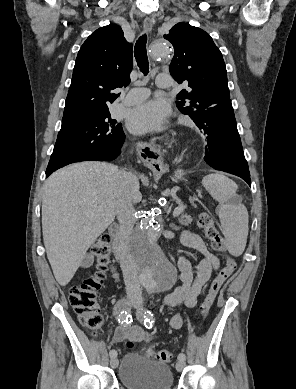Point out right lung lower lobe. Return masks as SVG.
<instances>
[{"label":"right lung lower lobe","mask_w":296,"mask_h":389,"mask_svg":"<svg viewBox=\"0 0 296 389\" xmlns=\"http://www.w3.org/2000/svg\"><path fill=\"white\" fill-rule=\"evenodd\" d=\"M124 139H125V135H124V138H123V142H124ZM123 142H122V144H123ZM122 144L120 146H118V147H115L111 151L104 150V151H100V152H94V153H91V154H87L84 157H81L79 160H76L74 162L87 161V160H93V161H103V160H106V161H111V160L115 159L120 154V150H121ZM74 162H72V163H74ZM65 165H68V164H61V165L55 166L53 168H47V170H46V177H48L55 170L65 166Z\"/></svg>","instance_id":"obj_1"}]
</instances>
